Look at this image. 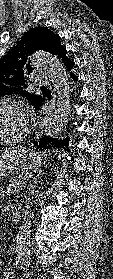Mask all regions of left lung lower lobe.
<instances>
[{
	"instance_id": "obj_1",
	"label": "left lung lower lobe",
	"mask_w": 113,
	"mask_h": 279,
	"mask_svg": "<svg viewBox=\"0 0 113 279\" xmlns=\"http://www.w3.org/2000/svg\"><path fill=\"white\" fill-rule=\"evenodd\" d=\"M63 60V63L64 65L66 66L67 70L73 68V65H74V62L71 61L69 58L66 57V55L62 58ZM70 76L73 78V80H77V76L73 73L70 74ZM43 99H41L36 105H35V108L36 109H39L40 106H42L43 104ZM68 142H69V139L66 138V139H56V138H48V137H43L39 140V142L37 141H34V145L37 147V148H40L41 150L43 149H48L50 147H62L64 149H68Z\"/></svg>"
}]
</instances>
